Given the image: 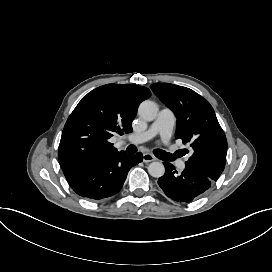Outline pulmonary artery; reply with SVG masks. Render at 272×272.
Here are the masks:
<instances>
[{
	"label": "pulmonary artery",
	"instance_id": "e3ab8cb5",
	"mask_svg": "<svg viewBox=\"0 0 272 272\" xmlns=\"http://www.w3.org/2000/svg\"><path fill=\"white\" fill-rule=\"evenodd\" d=\"M175 121V115L171 111L164 109L159 112L157 119L151 125L149 130H147L145 133L134 135L132 137V142L134 144L143 143L157 134H160L162 138L167 141L171 137ZM167 148L173 154H176L178 152V149L174 146L172 142H169L167 144ZM175 166L179 170H184L186 168V163L182 159H177L175 161Z\"/></svg>",
	"mask_w": 272,
	"mask_h": 272
}]
</instances>
